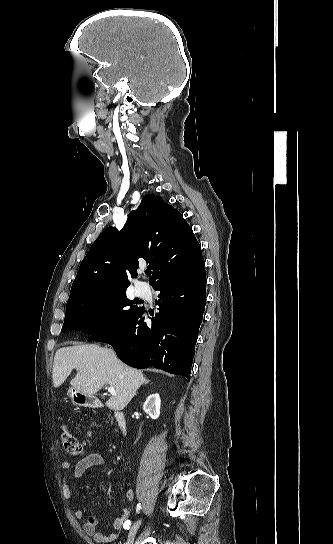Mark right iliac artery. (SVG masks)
I'll use <instances>...</instances> for the list:
<instances>
[{
    "instance_id": "82829eb1",
    "label": "right iliac artery",
    "mask_w": 333,
    "mask_h": 544,
    "mask_svg": "<svg viewBox=\"0 0 333 544\" xmlns=\"http://www.w3.org/2000/svg\"><path fill=\"white\" fill-rule=\"evenodd\" d=\"M140 509H141V505L138 504V505H137V512H139ZM130 525H131V521H130V520H127V521L124 523L123 527H124L125 530H126V529L128 530L129 527H130Z\"/></svg>"
}]
</instances>
